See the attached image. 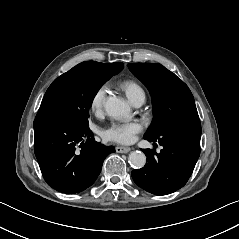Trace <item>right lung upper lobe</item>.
Instances as JSON below:
<instances>
[{
	"instance_id": "right-lung-upper-lobe-1",
	"label": "right lung upper lobe",
	"mask_w": 239,
	"mask_h": 239,
	"mask_svg": "<svg viewBox=\"0 0 239 239\" xmlns=\"http://www.w3.org/2000/svg\"><path fill=\"white\" fill-rule=\"evenodd\" d=\"M80 66H90V67H96L99 68L101 70H104L112 75H115L117 73H119L122 69H123V63H110V64H103V63H99L96 61H85L82 62L80 64H78Z\"/></svg>"
}]
</instances>
